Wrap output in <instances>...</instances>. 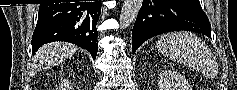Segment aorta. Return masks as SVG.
Segmentation results:
<instances>
[{"label":"aorta","mask_w":237,"mask_h":90,"mask_svg":"<svg viewBox=\"0 0 237 90\" xmlns=\"http://www.w3.org/2000/svg\"><path fill=\"white\" fill-rule=\"evenodd\" d=\"M142 4L143 0H124L119 16L120 30H126L135 22Z\"/></svg>","instance_id":"1"}]
</instances>
